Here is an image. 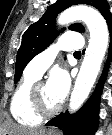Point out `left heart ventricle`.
<instances>
[{
  "label": "left heart ventricle",
  "mask_w": 112,
  "mask_h": 135,
  "mask_svg": "<svg viewBox=\"0 0 112 135\" xmlns=\"http://www.w3.org/2000/svg\"><path fill=\"white\" fill-rule=\"evenodd\" d=\"M40 97H41V101H42L43 105L48 109L54 108L58 104V101H56L51 96L49 89L47 87V84H43L40 87Z\"/></svg>",
  "instance_id": "1"
}]
</instances>
